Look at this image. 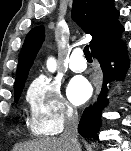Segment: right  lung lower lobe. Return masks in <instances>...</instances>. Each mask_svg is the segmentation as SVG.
Wrapping results in <instances>:
<instances>
[{
  "mask_svg": "<svg viewBox=\"0 0 131 151\" xmlns=\"http://www.w3.org/2000/svg\"><path fill=\"white\" fill-rule=\"evenodd\" d=\"M123 31L124 29L91 51L92 56L97 58L100 63L104 75V81L97 103L94 106H90L85 109L80 119L78 132L84 138L98 139L97 131L100 126L101 109L107 105V83L115 78L123 79L129 67V58L126 46L124 43H117V40ZM112 61L115 62L114 68L110 67V62Z\"/></svg>",
  "mask_w": 131,
  "mask_h": 151,
  "instance_id": "right-lung-lower-lobe-1",
  "label": "right lung lower lobe"
}]
</instances>
